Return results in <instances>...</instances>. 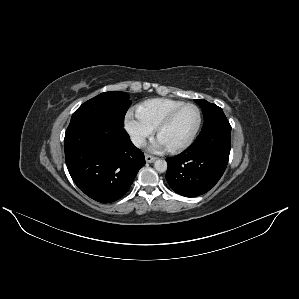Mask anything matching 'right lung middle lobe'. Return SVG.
<instances>
[{
    "instance_id": "obj_1",
    "label": "right lung middle lobe",
    "mask_w": 299,
    "mask_h": 299,
    "mask_svg": "<svg viewBox=\"0 0 299 299\" xmlns=\"http://www.w3.org/2000/svg\"><path fill=\"white\" fill-rule=\"evenodd\" d=\"M131 105L125 92H104L83 103L72 115L71 122L78 120H106L118 127H124V117Z\"/></svg>"
}]
</instances>
